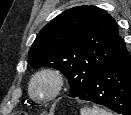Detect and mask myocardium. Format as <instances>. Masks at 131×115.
Wrapping results in <instances>:
<instances>
[{
	"mask_svg": "<svg viewBox=\"0 0 131 115\" xmlns=\"http://www.w3.org/2000/svg\"><path fill=\"white\" fill-rule=\"evenodd\" d=\"M41 77H48L53 82L52 92L46 98L38 97L34 92V84ZM64 84L65 78L60 69L55 67H44L35 72L34 75L31 77L28 86L29 94L38 102L47 104L53 101L62 92Z\"/></svg>",
	"mask_w": 131,
	"mask_h": 115,
	"instance_id": "f54148a6",
	"label": "myocardium"
}]
</instances>
